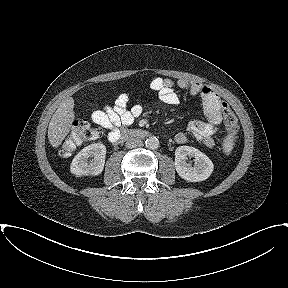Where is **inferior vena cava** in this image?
I'll return each mask as SVG.
<instances>
[{
	"label": "inferior vena cava",
	"mask_w": 288,
	"mask_h": 288,
	"mask_svg": "<svg viewBox=\"0 0 288 288\" xmlns=\"http://www.w3.org/2000/svg\"><path fill=\"white\" fill-rule=\"evenodd\" d=\"M141 145H142V141L139 138H129L125 143V146L128 149L137 148V147H140Z\"/></svg>",
	"instance_id": "1"
}]
</instances>
